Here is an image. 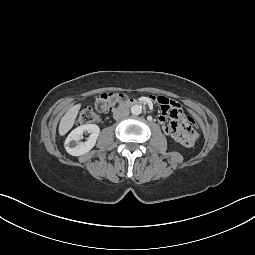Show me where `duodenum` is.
<instances>
[{"mask_svg":"<svg viewBox=\"0 0 255 255\" xmlns=\"http://www.w3.org/2000/svg\"><path fill=\"white\" fill-rule=\"evenodd\" d=\"M141 102L138 101L137 99L134 98H128L126 100H124L123 102H121L119 104V106H133V105H137L140 104Z\"/></svg>","mask_w":255,"mask_h":255,"instance_id":"1","label":"duodenum"}]
</instances>
